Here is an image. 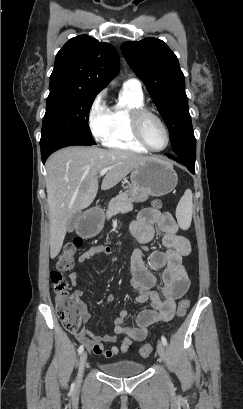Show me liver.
Returning <instances> with one entry per match:
<instances>
[{"instance_id":"obj_1","label":"liver","mask_w":243,"mask_h":409,"mask_svg":"<svg viewBox=\"0 0 243 409\" xmlns=\"http://www.w3.org/2000/svg\"><path fill=\"white\" fill-rule=\"evenodd\" d=\"M151 159L128 151L84 146L67 147L52 154L46 162L50 257L54 259L59 254L70 218L94 201L102 169L108 168V172L101 188L108 190Z\"/></svg>"}]
</instances>
